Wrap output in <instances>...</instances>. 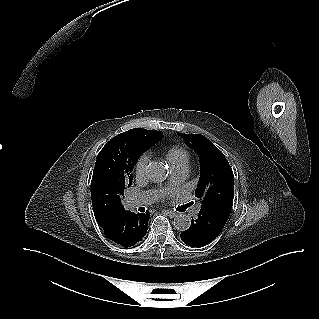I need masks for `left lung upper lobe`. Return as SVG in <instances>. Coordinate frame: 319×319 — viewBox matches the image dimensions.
Listing matches in <instances>:
<instances>
[{"instance_id":"obj_1","label":"left lung upper lobe","mask_w":319,"mask_h":319,"mask_svg":"<svg viewBox=\"0 0 319 319\" xmlns=\"http://www.w3.org/2000/svg\"><path fill=\"white\" fill-rule=\"evenodd\" d=\"M200 159V178L195 196L201 208L233 205L234 176L224 154L205 136L180 134Z\"/></svg>"}]
</instances>
